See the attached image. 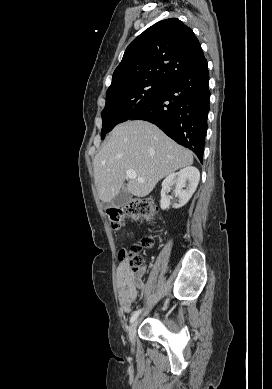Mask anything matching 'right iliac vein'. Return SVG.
<instances>
[{
    "label": "right iliac vein",
    "mask_w": 272,
    "mask_h": 389,
    "mask_svg": "<svg viewBox=\"0 0 272 389\" xmlns=\"http://www.w3.org/2000/svg\"><path fill=\"white\" fill-rule=\"evenodd\" d=\"M137 325H138V321H134L131 325V327L129 328V340L132 344L135 343V339H136V330H137Z\"/></svg>",
    "instance_id": "1"
}]
</instances>
